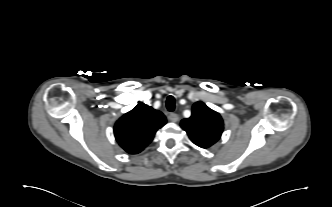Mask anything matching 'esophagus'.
I'll return each mask as SVG.
<instances>
[{
	"label": "esophagus",
	"mask_w": 332,
	"mask_h": 207,
	"mask_svg": "<svg viewBox=\"0 0 332 207\" xmlns=\"http://www.w3.org/2000/svg\"><path fill=\"white\" fill-rule=\"evenodd\" d=\"M168 119L171 122H177L179 120V116L175 113H171V114L168 115Z\"/></svg>",
	"instance_id": "esophagus-1"
}]
</instances>
